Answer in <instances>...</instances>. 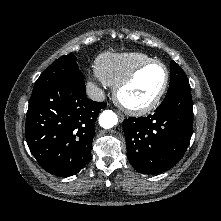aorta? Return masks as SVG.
<instances>
[{"instance_id":"762f6f07","label":"aorta","mask_w":221,"mask_h":221,"mask_svg":"<svg viewBox=\"0 0 221 221\" xmlns=\"http://www.w3.org/2000/svg\"><path fill=\"white\" fill-rule=\"evenodd\" d=\"M118 123V117L112 110H105L99 116V124L104 129H110Z\"/></svg>"}]
</instances>
